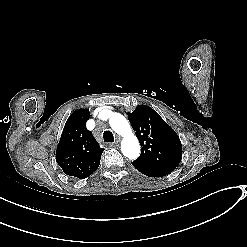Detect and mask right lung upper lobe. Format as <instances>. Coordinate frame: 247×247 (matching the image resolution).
Segmentation results:
<instances>
[{"label":"right lung upper lobe","instance_id":"cb5924a9","mask_svg":"<svg viewBox=\"0 0 247 247\" xmlns=\"http://www.w3.org/2000/svg\"><path fill=\"white\" fill-rule=\"evenodd\" d=\"M88 109L74 111L68 118L56 150V161L65 174L80 179L99 166L104 151L86 128Z\"/></svg>","mask_w":247,"mask_h":247}]
</instances>
